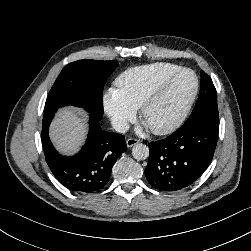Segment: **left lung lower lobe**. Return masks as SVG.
Segmentation results:
<instances>
[{
	"label": "left lung lower lobe",
	"instance_id": "0a47b994",
	"mask_svg": "<svg viewBox=\"0 0 251 251\" xmlns=\"http://www.w3.org/2000/svg\"><path fill=\"white\" fill-rule=\"evenodd\" d=\"M219 120L186 121L167 138L151 142L145 175L162 191H178L193 184L213 159Z\"/></svg>",
	"mask_w": 251,
	"mask_h": 251
}]
</instances>
